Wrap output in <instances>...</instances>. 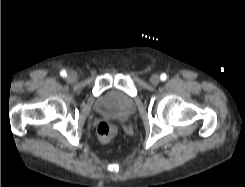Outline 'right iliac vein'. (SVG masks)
<instances>
[{
  "mask_svg": "<svg viewBox=\"0 0 245 187\" xmlns=\"http://www.w3.org/2000/svg\"><path fill=\"white\" fill-rule=\"evenodd\" d=\"M67 80L70 82V83H73L77 80V75L75 72L71 71L68 73V76H67Z\"/></svg>",
  "mask_w": 245,
  "mask_h": 187,
  "instance_id": "1",
  "label": "right iliac vein"
}]
</instances>
